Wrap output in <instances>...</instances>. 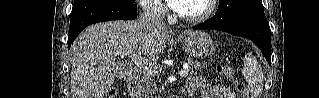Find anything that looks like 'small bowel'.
<instances>
[{"label": "small bowel", "mask_w": 319, "mask_h": 98, "mask_svg": "<svg viewBox=\"0 0 319 98\" xmlns=\"http://www.w3.org/2000/svg\"><path fill=\"white\" fill-rule=\"evenodd\" d=\"M189 93L200 91L202 98H236L231 89L224 84H206L202 77H192L187 81Z\"/></svg>", "instance_id": "small-bowel-1"}]
</instances>
